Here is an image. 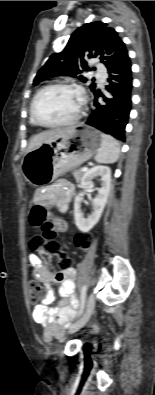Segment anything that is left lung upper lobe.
<instances>
[{"label":"left lung upper lobe","instance_id":"left-lung-upper-lobe-1","mask_svg":"<svg viewBox=\"0 0 155 395\" xmlns=\"http://www.w3.org/2000/svg\"><path fill=\"white\" fill-rule=\"evenodd\" d=\"M128 51L118 33L101 21L91 22L78 28L70 37L63 51L50 56L38 71L34 85L53 76L78 77L87 79L82 73L90 71L89 58H98L107 69L116 66ZM90 88L95 91V84Z\"/></svg>","mask_w":155,"mask_h":395}]
</instances>
